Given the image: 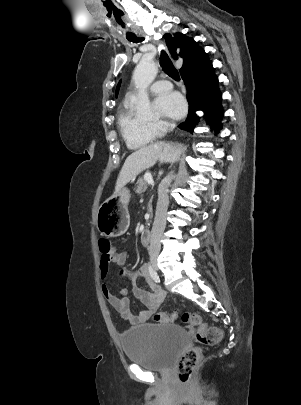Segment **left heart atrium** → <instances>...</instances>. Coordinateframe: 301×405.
Instances as JSON below:
<instances>
[{
  "label": "left heart atrium",
  "instance_id": "obj_1",
  "mask_svg": "<svg viewBox=\"0 0 301 405\" xmlns=\"http://www.w3.org/2000/svg\"><path fill=\"white\" fill-rule=\"evenodd\" d=\"M154 104L161 115L171 119H179L186 112V103L177 92H166L159 95Z\"/></svg>",
  "mask_w": 301,
  "mask_h": 405
}]
</instances>
